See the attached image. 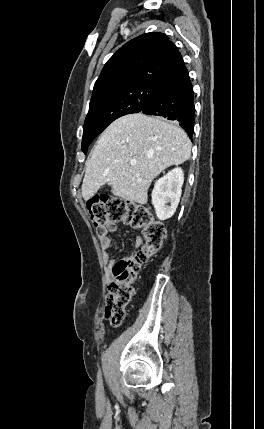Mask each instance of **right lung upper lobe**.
Returning a JSON list of instances; mask_svg holds the SVG:
<instances>
[{
    "label": "right lung upper lobe",
    "instance_id": "obj_1",
    "mask_svg": "<svg viewBox=\"0 0 264 429\" xmlns=\"http://www.w3.org/2000/svg\"><path fill=\"white\" fill-rule=\"evenodd\" d=\"M183 62L163 33H146L123 45L105 64L92 99L137 84L159 85Z\"/></svg>",
    "mask_w": 264,
    "mask_h": 429
}]
</instances>
